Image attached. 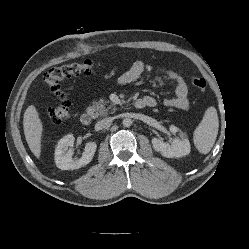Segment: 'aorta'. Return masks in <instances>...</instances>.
Segmentation results:
<instances>
[{
  "label": "aorta",
  "mask_w": 249,
  "mask_h": 249,
  "mask_svg": "<svg viewBox=\"0 0 249 249\" xmlns=\"http://www.w3.org/2000/svg\"><path fill=\"white\" fill-rule=\"evenodd\" d=\"M133 121L130 118H125L122 122L123 126L130 127L132 125Z\"/></svg>",
  "instance_id": "obj_1"
}]
</instances>
